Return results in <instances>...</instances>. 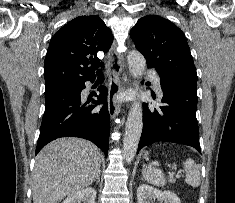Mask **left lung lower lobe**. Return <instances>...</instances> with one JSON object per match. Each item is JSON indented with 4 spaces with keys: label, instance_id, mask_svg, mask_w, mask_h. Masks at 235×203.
<instances>
[{
    "label": "left lung lower lobe",
    "instance_id": "left-lung-lower-lobe-1",
    "mask_svg": "<svg viewBox=\"0 0 235 203\" xmlns=\"http://www.w3.org/2000/svg\"><path fill=\"white\" fill-rule=\"evenodd\" d=\"M159 76L164 105L152 108L143 104L144 124L138 151L155 142L167 141L192 146L201 153L196 119L197 86Z\"/></svg>",
    "mask_w": 235,
    "mask_h": 203
}]
</instances>
